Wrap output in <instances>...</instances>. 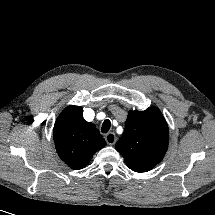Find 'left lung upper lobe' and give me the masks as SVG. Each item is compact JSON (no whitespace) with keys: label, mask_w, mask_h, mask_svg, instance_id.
<instances>
[{"label":"left lung upper lobe","mask_w":215,"mask_h":215,"mask_svg":"<svg viewBox=\"0 0 215 215\" xmlns=\"http://www.w3.org/2000/svg\"><path fill=\"white\" fill-rule=\"evenodd\" d=\"M169 142L167 123L157 107L128 113L125 131L116 143L127 166L147 172L163 159Z\"/></svg>","instance_id":"obj_1"}]
</instances>
